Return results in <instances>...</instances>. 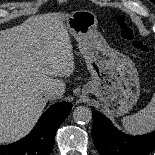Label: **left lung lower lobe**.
Here are the masks:
<instances>
[{"label":"left lung lower lobe","mask_w":155,"mask_h":155,"mask_svg":"<svg viewBox=\"0 0 155 155\" xmlns=\"http://www.w3.org/2000/svg\"><path fill=\"white\" fill-rule=\"evenodd\" d=\"M92 115L91 134L101 155H148L155 149V131L134 137L118 131L102 113Z\"/></svg>","instance_id":"obj_1"}]
</instances>
